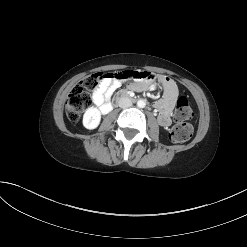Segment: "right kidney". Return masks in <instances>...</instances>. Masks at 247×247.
Returning <instances> with one entry per match:
<instances>
[{"label": "right kidney", "instance_id": "obj_1", "mask_svg": "<svg viewBox=\"0 0 247 247\" xmlns=\"http://www.w3.org/2000/svg\"><path fill=\"white\" fill-rule=\"evenodd\" d=\"M101 120V113L96 107L88 108L83 115V125L87 129H95Z\"/></svg>", "mask_w": 247, "mask_h": 247}]
</instances>
